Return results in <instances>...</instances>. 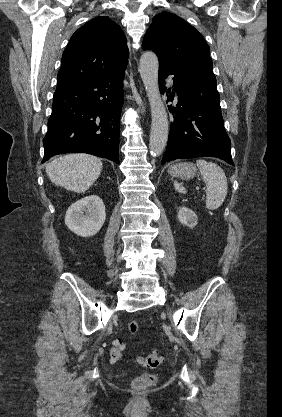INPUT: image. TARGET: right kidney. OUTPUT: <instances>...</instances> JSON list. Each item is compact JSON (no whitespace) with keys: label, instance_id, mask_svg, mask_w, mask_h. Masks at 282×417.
<instances>
[{"label":"right kidney","instance_id":"ca27d5eb","mask_svg":"<svg viewBox=\"0 0 282 417\" xmlns=\"http://www.w3.org/2000/svg\"><path fill=\"white\" fill-rule=\"evenodd\" d=\"M105 219L102 198L97 194H89L70 204L65 215V225L79 237H93L103 227Z\"/></svg>","mask_w":282,"mask_h":417}]
</instances>
